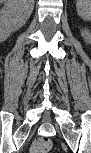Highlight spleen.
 Returning a JSON list of instances; mask_svg holds the SVG:
<instances>
[{"instance_id": "obj_1", "label": "spleen", "mask_w": 91, "mask_h": 153, "mask_svg": "<svg viewBox=\"0 0 91 153\" xmlns=\"http://www.w3.org/2000/svg\"><path fill=\"white\" fill-rule=\"evenodd\" d=\"M77 13L84 20H90L91 18V1L90 0H78L76 3Z\"/></svg>"}]
</instances>
